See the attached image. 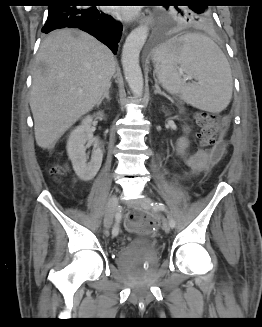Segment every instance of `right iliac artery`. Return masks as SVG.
Returning a JSON list of instances; mask_svg holds the SVG:
<instances>
[{"label": "right iliac artery", "mask_w": 262, "mask_h": 327, "mask_svg": "<svg viewBox=\"0 0 262 327\" xmlns=\"http://www.w3.org/2000/svg\"><path fill=\"white\" fill-rule=\"evenodd\" d=\"M121 220V214L119 212L116 213L115 215V225L112 230V235L117 236L119 232V222Z\"/></svg>", "instance_id": "right-iliac-artery-1"}]
</instances>
